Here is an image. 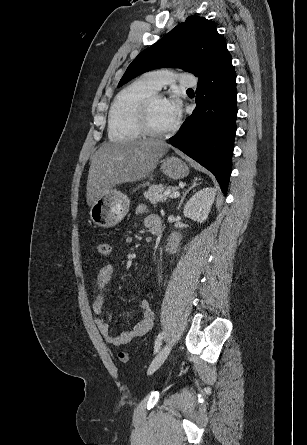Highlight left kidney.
<instances>
[{
  "mask_svg": "<svg viewBox=\"0 0 307 445\" xmlns=\"http://www.w3.org/2000/svg\"><path fill=\"white\" fill-rule=\"evenodd\" d=\"M215 196L216 188H213V186H206V188L198 190V192H195V194L189 198L188 202H186L183 210L185 216H189V218H193V220H198V223H204Z\"/></svg>",
  "mask_w": 307,
  "mask_h": 445,
  "instance_id": "left-kidney-1",
  "label": "left kidney"
}]
</instances>
